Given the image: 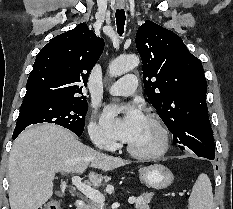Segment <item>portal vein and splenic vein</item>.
I'll return each mask as SVG.
<instances>
[{
    "mask_svg": "<svg viewBox=\"0 0 233 209\" xmlns=\"http://www.w3.org/2000/svg\"><path fill=\"white\" fill-rule=\"evenodd\" d=\"M72 184L82 194H84L86 197H88L90 200H92V201H94L96 203L104 204V201H105L104 195L100 191H98V190H96V189H94V188H92V187H90V186L82 183L81 178L79 176H73L72 177ZM139 199L140 198L137 199L135 197H130L128 199V202H129V204H134Z\"/></svg>",
    "mask_w": 233,
    "mask_h": 209,
    "instance_id": "18ae733b",
    "label": "portal vein and splenic vein"
}]
</instances>
